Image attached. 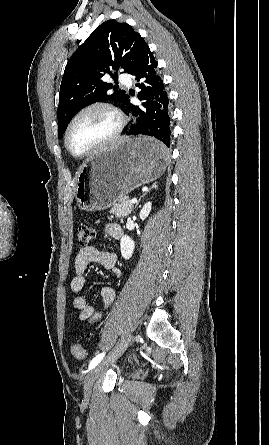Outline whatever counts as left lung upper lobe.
<instances>
[{"label": "left lung upper lobe", "instance_id": "obj_1", "mask_svg": "<svg viewBox=\"0 0 269 445\" xmlns=\"http://www.w3.org/2000/svg\"><path fill=\"white\" fill-rule=\"evenodd\" d=\"M147 43L127 23L108 20L98 26L68 61L60 86L58 137L83 107L97 101L124 103L127 94L102 78L122 68L130 74L148 49ZM114 89V93L108 91Z\"/></svg>", "mask_w": 269, "mask_h": 445}]
</instances>
